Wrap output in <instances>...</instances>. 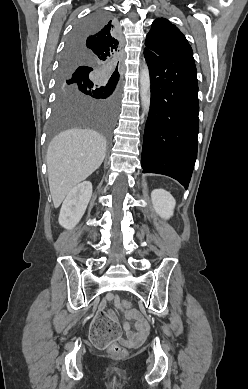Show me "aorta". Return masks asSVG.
I'll return each mask as SVG.
<instances>
[{
	"instance_id": "762f6f07",
	"label": "aorta",
	"mask_w": 248,
	"mask_h": 389,
	"mask_svg": "<svg viewBox=\"0 0 248 389\" xmlns=\"http://www.w3.org/2000/svg\"><path fill=\"white\" fill-rule=\"evenodd\" d=\"M140 96L143 113L148 114L150 108V74L147 65H144L140 71Z\"/></svg>"
}]
</instances>
